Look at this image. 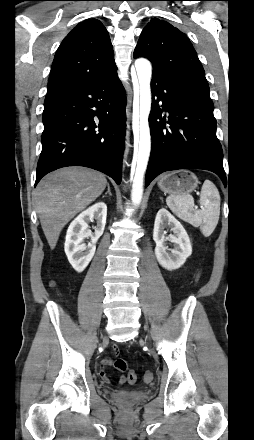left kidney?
Masks as SVG:
<instances>
[{
    "instance_id": "obj_1",
    "label": "left kidney",
    "mask_w": 254,
    "mask_h": 440,
    "mask_svg": "<svg viewBox=\"0 0 254 440\" xmlns=\"http://www.w3.org/2000/svg\"><path fill=\"white\" fill-rule=\"evenodd\" d=\"M169 227L173 234L165 236L164 229ZM153 240L156 243L155 255L159 264L167 270L180 268L192 253L189 236L181 223L165 208L158 211ZM167 241L173 243V249L167 246Z\"/></svg>"
}]
</instances>
